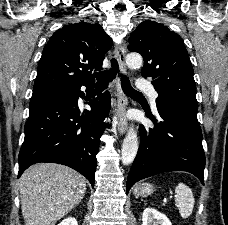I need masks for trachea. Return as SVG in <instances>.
I'll return each mask as SVG.
<instances>
[{"label":"trachea","instance_id":"1","mask_svg":"<svg viewBox=\"0 0 228 225\" xmlns=\"http://www.w3.org/2000/svg\"><path fill=\"white\" fill-rule=\"evenodd\" d=\"M117 73L121 79V87L127 95L142 96L140 92H137L132 88L128 77L120 72L118 62L115 58L111 59V69L95 74L97 78V87L107 88L108 83L115 78Z\"/></svg>","mask_w":228,"mask_h":225}]
</instances>
